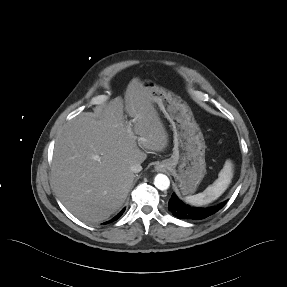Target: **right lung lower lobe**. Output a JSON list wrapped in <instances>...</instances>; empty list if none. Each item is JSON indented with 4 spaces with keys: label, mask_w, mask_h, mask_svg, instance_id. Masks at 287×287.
<instances>
[{
    "label": "right lung lower lobe",
    "mask_w": 287,
    "mask_h": 287,
    "mask_svg": "<svg viewBox=\"0 0 287 287\" xmlns=\"http://www.w3.org/2000/svg\"><path fill=\"white\" fill-rule=\"evenodd\" d=\"M124 211H125V208L122 209L121 212L118 213L113 219H111L110 221L106 222V224H107V223H111V222L117 220L119 217H121V215L123 214Z\"/></svg>",
    "instance_id": "right-lung-lower-lobe-1"
}]
</instances>
